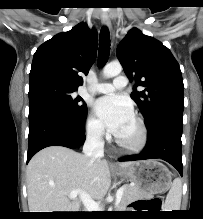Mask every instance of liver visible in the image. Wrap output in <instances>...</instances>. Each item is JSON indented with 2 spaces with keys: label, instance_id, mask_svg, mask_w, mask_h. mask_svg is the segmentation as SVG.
Here are the masks:
<instances>
[{
  "label": "liver",
  "instance_id": "liver-1",
  "mask_svg": "<svg viewBox=\"0 0 203 219\" xmlns=\"http://www.w3.org/2000/svg\"><path fill=\"white\" fill-rule=\"evenodd\" d=\"M133 162L119 163L127 168ZM111 185L108 162L92 160L63 146L39 151L27 166V193L30 212H78L80 201L69 198L81 190L91 198L103 197Z\"/></svg>",
  "mask_w": 203,
  "mask_h": 219
}]
</instances>
